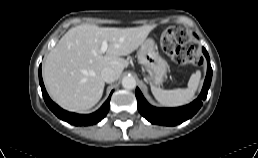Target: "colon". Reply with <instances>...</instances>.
<instances>
[{
  "instance_id": "obj_1",
  "label": "colon",
  "mask_w": 258,
  "mask_h": 158,
  "mask_svg": "<svg viewBox=\"0 0 258 158\" xmlns=\"http://www.w3.org/2000/svg\"><path fill=\"white\" fill-rule=\"evenodd\" d=\"M189 42L190 35L187 30L181 26H173L163 32L160 46L175 63L197 66L200 59Z\"/></svg>"
}]
</instances>
